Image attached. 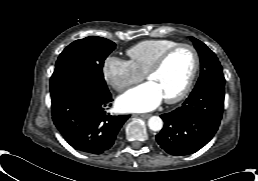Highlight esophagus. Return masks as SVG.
<instances>
[{
  "mask_svg": "<svg viewBox=\"0 0 258 181\" xmlns=\"http://www.w3.org/2000/svg\"><path fill=\"white\" fill-rule=\"evenodd\" d=\"M151 116V114H141L140 117L143 119H148Z\"/></svg>",
  "mask_w": 258,
  "mask_h": 181,
  "instance_id": "obj_1",
  "label": "esophagus"
}]
</instances>
